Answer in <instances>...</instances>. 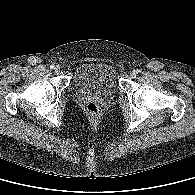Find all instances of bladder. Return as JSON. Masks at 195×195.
<instances>
[{
    "instance_id": "1",
    "label": "bladder",
    "mask_w": 195,
    "mask_h": 195,
    "mask_svg": "<svg viewBox=\"0 0 195 195\" xmlns=\"http://www.w3.org/2000/svg\"><path fill=\"white\" fill-rule=\"evenodd\" d=\"M118 88L115 68L104 62H86L75 71L72 89L78 95L111 96Z\"/></svg>"
}]
</instances>
